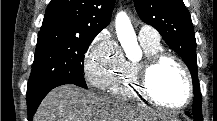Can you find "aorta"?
Here are the masks:
<instances>
[{"label": "aorta", "mask_w": 217, "mask_h": 121, "mask_svg": "<svg viewBox=\"0 0 217 121\" xmlns=\"http://www.w3.org/2000/svg\"><path fill=\"white\" fill-rule=\"evenodd\" d=\"M115 28L118 40L127 57L137 58L141 51L131 21L125 12H119L116 15Z\"/></svg>", "instance_id": "obj_1"}]
</instances>
